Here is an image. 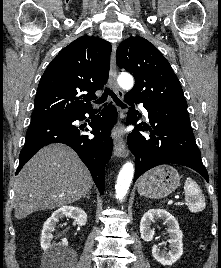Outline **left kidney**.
<instances>
[{
  "instance_id": "1",
  "label": "left kidney",
  "mask_w": 221,
  "mask_h": 268,
  "mask_svg": "<svg viewBox=\"0 0 221 268\" xmlns=\"http://www.w3.org/2000/svg\"><path fill=\"white\" fill-rule=\"evenodd\" d=\"M158 218L163 219L168 226L167 232L170 235V250L168 252L162 251L158 245H154L152 247V255L162 265H172L183 254V233L180 230L177 220L169 212L164 209L148 210L140 221L141 238L146 242L153 239L154 230L150 226Z\"/></svg>"
}]
</instances>
